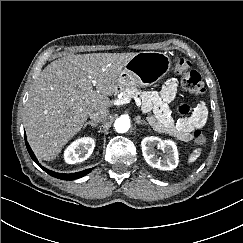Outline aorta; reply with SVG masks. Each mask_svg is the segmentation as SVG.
<instances>
[{"label":"aorta","instance_id":"aorta-1","mask_svg":"<svg viewBox=\"0 0 243 243\" xmlns=\"http://www.w3.org/2000/svg\"><path fill=\"white\" fill-rule=\"evenodd\" d=\"M114 127L116 132L125 133L130 128V119L127 116H121L117 118L114 122Z\"/></svg>","mask_w":243,"mask_h":243}]
</instances>
